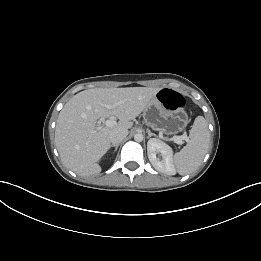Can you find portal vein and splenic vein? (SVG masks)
Segmentation results:
<instances>
[{"label": "portal vein and splenic vein", "mask_w": 261, "mask_h": 261, "mask_svg": "<svg viewBox=\"0 0 261 261\" xmlns=\"http://www.w3.org/2000/svg\"><path fill=\"white\" fill-rule=\"evenodd\" d=\"M114 106L115 105H107L106 108L112 109ZM115 124H116V121L113 118L105 121V125L108 126V127L114 126ZM101 128H102V125L99 124L97 129L100 130ZM163 139L166 140V141H174L175 143H177L179 145L182 144V140H183L181 137H174V138L163 137Z\"/></svg>", "instance_id": "1"}]
</instances>
